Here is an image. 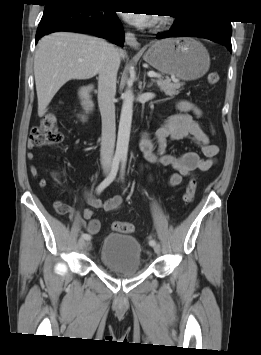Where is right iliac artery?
Masks as SVG:
<instances>
[{"label": "right iliac artery", "instance_id": "right-iliac-artery-1", "mask_svg": "<svg viewBox=\"0 0 261 355\" xmlns=\"http://www.w3.org/2000/svg\"><path fill=\"white\" fill-rule=\"evenodd\" d=\"M119 163H120V157L115 156L112 162V167H111V171L109 173V175L107 176V178H105L100 185L97 187L96 191L97 194L101 193L107 186H109L113 180L116 178L118 169H119ZM81 238L84 240H90L91 237L89 234L87 233H82L81 234Z\"/></svg>", "mask_w": 261, "mask_h": 355}]
</instances>
